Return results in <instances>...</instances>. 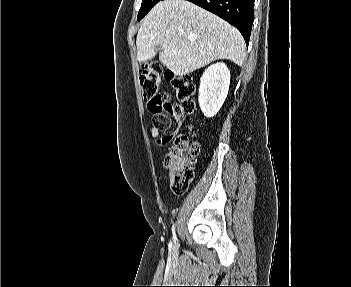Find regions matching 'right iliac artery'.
<instances>
[{
    "mask_svg": "<svg viewBox=\"0 0 351 287\" xmlns=\"http://www.w3.org/2000/svg\"><path fill=\"white\" fill-rule=\"evenodd\" d=\"M172 234H173V239L174 241L176 240V234H175V226H172Z\"/></svg>",
    "mask_w": 351,
    "mask_h": 287,
    "instance_id": "1",
    "label": "right iliac artery"
}]
</instances>
